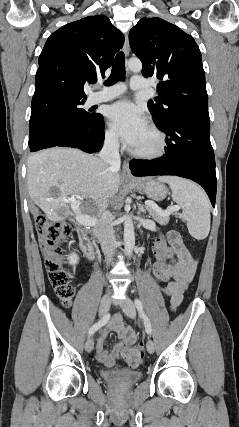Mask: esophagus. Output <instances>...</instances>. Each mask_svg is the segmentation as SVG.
Wrapping results in <instances>:
<instances>
[{
    "instance_id": "34e87169",
    "label": "esophagus",
    "mask_w": 239,
    "mask_h": 427,
    "mask_svg": "<svg viewBox=\"0 0 239 427\" xmlns=\"http://www.w3.org/2000/svg\"><path fill=\"white\" fill-rule=\"evenodd\" d=\"M123 51H124L125 56L129 55L130 45H129L128 35H125ZM121 175L124 179H132L129 164L127 161L123 162Z\"/></svg>"
}]
</instances>
